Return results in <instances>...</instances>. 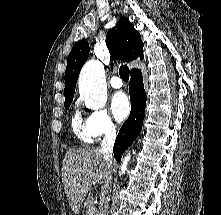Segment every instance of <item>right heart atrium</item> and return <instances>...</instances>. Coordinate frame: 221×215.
<instances>
[{
	"label": "right heart atrium",
	"mask_w": 221,
	"mask_h": 215,
	"mask_svg": "<svg viewBox=\"0 0 221 215\" xmlns=\"http://www.w3.org/2000/svg\"><path fill=\"white\" fill-rule=\"evenodd\" d=\"M85 125L89 135L94 139L113 136L118 131V124L105 109L90 111Z\"/></svg>",
	"instance_id": "right-heart-atrium-1"
}]
</instances>
